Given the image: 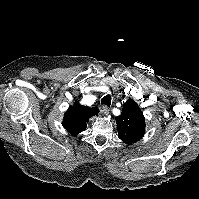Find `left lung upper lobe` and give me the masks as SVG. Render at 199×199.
Instances as JSON below:
<instances>
[{
    "instance_id": "left-lung-upper-lobe-1",
    "label": "left lung upper lobe",
    "mask_w": 199,
    "mask_h": 199,
    "mask_svg": "<svg viewBox=\"0 0 199 199\" xmlns=\"http://www.w3.org/2000/svg\"><path fill=\"white\" fill-rule=\"evenodd\" d=\"M118 136L127 143L139 141L145 133V118L138 104L128 99L123 106L122 114L116 118Z\"/></svg>"
}]
</instances>
